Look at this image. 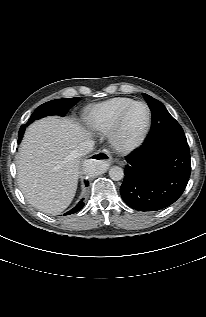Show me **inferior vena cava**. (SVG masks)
<instances>
[{"instance_id":"602c4592","label":"inferior vena cava","mask_w":206,"mask_h":317,"mask_svg":"<svg viewBox=\"0 0 206 317\" xmlns=\"http://www.w3.org/2000/svg\"><path fill=\"white\" fill-rule=\"evenodd\" d=\"M94 149V141L92 140H85L80 143V145L77 148V154L79 156L86 155L90 152H92Z\"/></svg>"}]
</instances>
